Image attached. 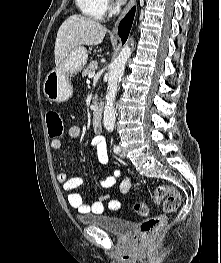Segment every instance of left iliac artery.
Here are the masks:
<instances>
[{
	"mask_svg": "<svg viewBox=\"0 0 221 263\" xmlns=\"http://www.w3.org/2000/svg\"><path fill=\"white\" fill-rule=\"evenodd\" d=\"M113 150H114L115 153H119L120 152L119 146H116V145L114 146Z\"/></svg>",
	"mask_w": 221,
	"mask_h": 263,
	"instance_id": "1",
	"label": "left iliac artery"
}]
</instances>
